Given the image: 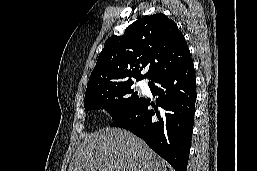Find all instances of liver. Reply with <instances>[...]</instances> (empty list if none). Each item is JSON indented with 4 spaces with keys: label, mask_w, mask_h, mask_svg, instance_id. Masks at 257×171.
<instances>
[{
    "label": "liver",
    "mask_w": 257,
    "mask_h": 171,
    "mask_svg": "<svg viewBox=\"0 0 257 171\" xmlns=\"http://www.w3.org/2000/svg\"><path fill=\"white\" fill-rule=\"evenodd\" d=\"M68 171H167L166 163L140 138L119 128L85 136Z\"/></svg>",
    "instance_id": "6515ba94"
}]
</instances>
